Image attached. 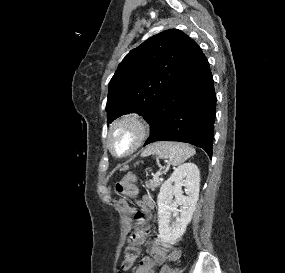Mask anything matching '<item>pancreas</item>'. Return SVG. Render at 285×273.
<instances>
[{
    "instance_id": "cf45deb5",
    "label": "pancreas",
    "mask_w": 285,
    "mask_h": 273,
    "mask_svg": "<svg viewBox=\"0 0 285 273\" xmlns=\"http://www.w3.org/2000/svg\"><path fill=\"white\" fill-rule=\"evenodd\" d=\"M161 185V181L159 179L155 180H149L146 182V187L154 191L157 187Z\"/></svg>"
}]
</instances>
